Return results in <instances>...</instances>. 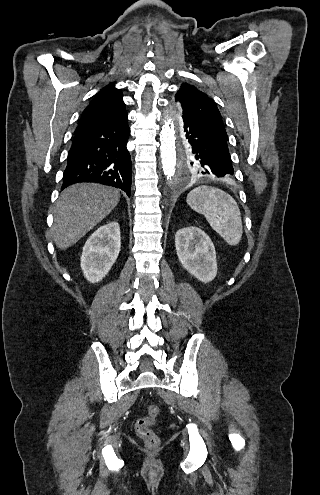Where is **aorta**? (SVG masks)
Segmentation results:
<instances>
[{"label": "aorta", "mask_w": 320, "mask_h": 495, "mask_svg": "<svg viewBox=\"0 0 320 495\" xmlns=\"http://www.w3.org/2000/svg\"><path fill=\"white\" fill-rule=\"evenodd\" d=\"M175 108L172 107L160 130V152L164 175L171 180L176 170V125L174 120ZM189 179L185 178L178 183L181 186Z\"/></svg>", "instance_id": "762f6f07"}]
</instances>
